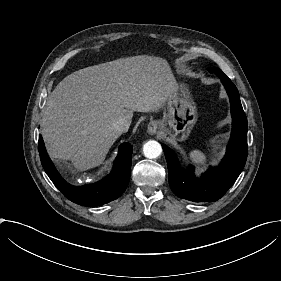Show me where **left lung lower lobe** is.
Segmentation results:
<instances>
[{"label": "left lung lower lobe", "mask_w": 281, "mask_h": 281, "mask_svg": "<svg viewBox=\"0 0 281 281\" xmlns=\"http://www.w3.org/2000/svg\"><path fill=\"white\" fill-rule=\"evenodd\" d=\"M217 76L228 93L233 121L231 138L221 164L209 168L197 178L193 166L189 170L181 168L175 153L165 144L162 145L172 191L178 197L194 202H213L220 199L234 184L247 159V118L240 102L239 92L224 73Z\"/></svg>", "instance_id": "1"}]
</instances>
